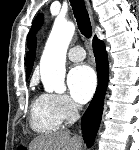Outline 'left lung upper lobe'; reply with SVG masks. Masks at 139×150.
I'll use <instances>...</instances> for the list:
<instances>
[{"mask_svg":"<svg viewBox=\"0 0 139 150\" xmlns=\"http://www.w3.org/2000/svg\"><path fill=\"white\" fill-rule=\"evenodd\" d=\"M42 21H43V15L42 14L38 15L36 17V19L34 20V22L32 24V28H31V30L28 34V43L30 42V39H31L33 33L36 32L39 29Z\"/></svg>","mask_w":139,"mask_h":150,"instance_id":"left-lung-upper-lobe-1","label":"left lung upper lobe"}]
</instances>
